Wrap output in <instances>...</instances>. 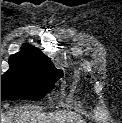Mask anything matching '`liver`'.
Segmentation results:
<instances>
[{
    "label": "liver",
    "instance_id": "obj_1",
    "mask_svg": "<svg viewBox=\"0 0 122 123\" xmlns=\"http://www.w3.org/2000/svg\"><path fill=\"white\" fill-rule=\"evenodd\" d=\"M12 123H84L75 113H50L33 112L29 108H22L16 112H10Z\"/></svg>",
    "mask_w": 122,
    "mask_h": 123
}]
</instances>
